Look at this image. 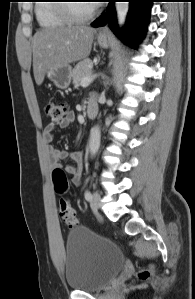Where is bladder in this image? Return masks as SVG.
<instances>
[{"label": "bladder", "instance_id": "1", "mask_svg": "<svg viewBox=\"0 0 195 299\" xmlns=\"http://www.w3.org/2000/svg\"><path fill=\"white\" fill-rule=\"evenodd\" d=\"M65 253L66 283L77 291L99 290L124 265V256L114 242L84 227L69 233Z\"/></svg>", "mask_w": 195, "mask_h": 299}]
</instances>
